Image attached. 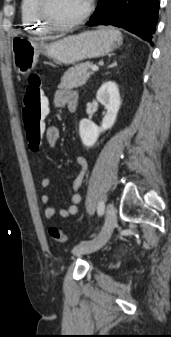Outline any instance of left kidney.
<instances>
[{"instance_id":"1","label":"left kidney","mask_w":171,"mask_h":337,"mask_svg":"<svg viewBox=\"0 0 171 337\" xmlns=\"http://www.w3.org/2000/svg\"><path fill=\"white\" fill-rule=\"evenodd\" d=\"M96 98L105 106L107 113L104 116L100 127L88 119H82L80 121L79 135L82 143L86 147H92L102 132L112 128L121 105L118 87L116 83L112 81L104 83L99 88Z\"/></svg>"}]
</instances>
